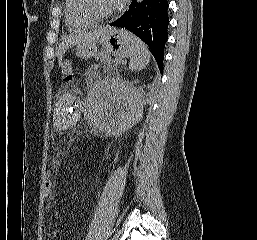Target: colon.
<instances>
[{
    "instance_id": "5ec220e1",
    "label": "colon",
    "mask_w": 257,
    "mask_h": 240,
    "mask_svg": "<svg viewBox=\"0 0 257 240\" xmlns=\"http://www.w3.org/2000/svg\"><path fill=\"white\" fill-rule=\"evenodd\" d=\"M62 77L71 80L74 75V63L71 60L64 61L61 68ZM53 190V180L50 172H47L45 175L44 181V191L45 196L48 200H50Z\"/></svg>"
}]
</instances>
